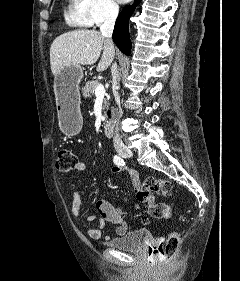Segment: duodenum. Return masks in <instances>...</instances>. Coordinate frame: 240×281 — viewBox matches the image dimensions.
<instances>
[{
    "instance_id": "duodenum-1",
    "label": "duodenum",
    "mask_w": 240,
    "mask_h": 281,
    "mask_svg": "<svg viewBox=\"0 0 240 281\" xmlns=\"http://www.w3.org/2000/svg\"><path fill=\"white\" fill-rule=\"evenodd\" d=\"M103 130L104 133L107 137H112L114 134V123L112 122V120L109 118L104 122L103 124Z\"/></svg>"
}]
</instances>
